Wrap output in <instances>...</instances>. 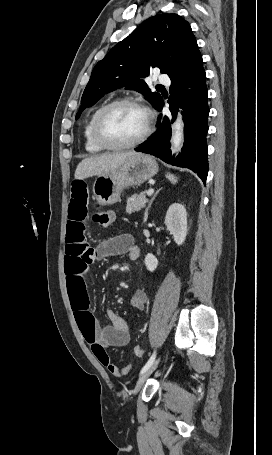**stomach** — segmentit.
Returning a JSON list of instances; mask_svg holds the SVG:
<instances>
[{"instance_id": "obj_1", "label": "stomach", "mask_w": 272, "mask_h": 455, "mask_svg": "<svg viewBox=\"0 0 272 455\" xmlns=\"http://www.w3.org/2000/svg\"><path fill=\"white\" fill-rule=\"evenodd\" d=\"M157 171L158 165L152 156L132 155L119 167L98 175L93 184L94 198L101 205H112L119 201L123 189L145 182Z\"/></svg>"}]
</instances>
